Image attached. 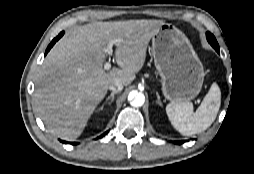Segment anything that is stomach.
Returning <instances> with one entry per match:
<instances>
[{
	"mask_svg": "<svg viewBox=\"0 0 254 174\" xmlns=\"http://www.w3.org/2000/svg\"><path fill=\"white\" fill-rule=\"evenodd\" d=\"M151 39L164 96L172 103L194 99L202 88L205 73L188 38L174 25L164 23Z\"/></svg>",
	"mask_w": 254,
	"mask_h": 174,
	"instance_id": "0dacf381",
	"label": "stomach"
}]
</instances>
